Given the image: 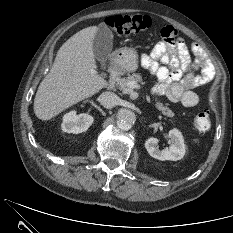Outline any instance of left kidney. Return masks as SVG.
Segmentation results:
<instances>
[{
  "label": "left kidney",
  "instance_id": "1",
  "mask_svg": "<svg viewBox=\"0 0 233 233\" xmlns=\"http://www.w3.org/2000/svg\"><path fill=\"white\" fill-rule=\"evenodd\" d=\"M168 137L171 141L170 147L163 150L157 148L159 141L157 138L151 137L146 140L145 148L150 156L161 161H177L184 157L186 146L182 133L174 128L169 131Z\"/></svg>",
  "mask_w": 233,
  "mask_h": 233
}]
</instances>
